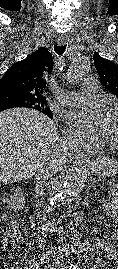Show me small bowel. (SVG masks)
Listing matches in <instances>:
<instances>
[{
  "label": "small bowel",
  "mask_w": 118,
  "mask_h": 269,
  "mask_svg": "<svg viewBox=\"0 0 118 269\" xmlns=\"http://www.w3.org/2000/svg\"><path fill=\"white\" fill-rule=\"evenodd\" d=\"M112 214L115 217L118 214V191L112 195ZM112 239L118 241V230L113 232ZM94 244L96 248L103 250L106 253L108 260L118 263V254L109 242L98 238L95 240Z\"/></svg>",
  "instance_id": "1"
}]
</instances>
